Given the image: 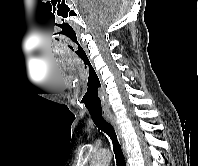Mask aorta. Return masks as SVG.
I'll return each mask as SVG.
<instances>
[{"label":"aorta","instance_id":"1","mask_svg":"<svg viewBox=\"0 0 198 166\" xmlns=\"http://www.w3.org/2000/svg\"><path fill=\"white\" fill-rule=\"evenodd\" d=\"M112 155L108 150H102L96 153L90 166H109Z\"/></svg>","mask_w":198,"mask_h":166}]
</instances>
